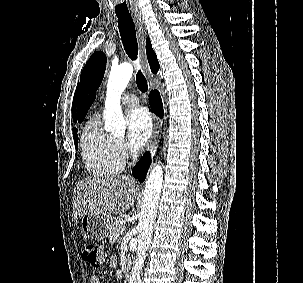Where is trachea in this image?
<instances>
[{
    "label": "trachea",
    "instance_id": "1",
    "mask_svg": "<svg viewBox=\"0 0 303 283\" xmlns=\"http://www.w3.org/2000/svg\"><path fill=\"white\" fill-rule=\"evenodd\" d=\"M119 32L121 40L128 57L136 61L138 57V43L133 20L129 16H118ZM136 84L141 92L148 90V84L145 76L138 70L136 74Z\"/></svg>",
    "mask_w": 303,
    "mask_h": 283
}]
</instances>
